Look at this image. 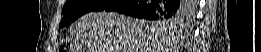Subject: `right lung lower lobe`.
Segmentation results:
<instances>
[{"label": "right lung lower lobe", "mask_w": 261, "mask_h": 52, "mask_svg": "<svg viewBox=\"0 0 261 52\" xmlns=\"http://www.w3.org/2000/svg\"><path fill=\"white\" fill-rule=\"evenodd\" d=\"M117 11L133 17L155 20L159 17L174 19L183 17L189 11L180 0H126L103 9Z\"/></svg>", "instance_id": "obj_1"}]
</instances>
